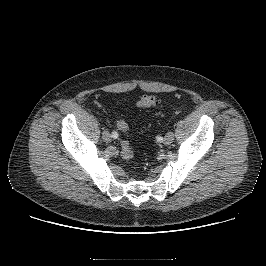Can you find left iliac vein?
<instances>
[{
  "label": "left iliac vein",
  "instance_id": "obj_1",
  "mask_svg": "<svg viewBox=\"0 0 266 266\" xmlns=\"http://www.w3.org/2000/svg\"><path fill=\"white\" fill-rule=\"evenodd\" d=\"M173 140H174V134L171 131L167 132L164 137V144L169 145L173 142Z\"/></svg>",
  "mask_w": 266,
  "mask_h": 266
}]
</instances>
